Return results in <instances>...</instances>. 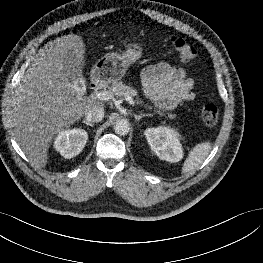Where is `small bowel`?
Instances as JSON below:
<instances>
[{
  "label": "small bowel",
  "mask_w": 263,
  "mask_h": 263,
  "mask_svg": "<svg viewBox=\"0 0 263 263\" xmlns=\"http://www.w3.org/2000/svg\"><path fill=\"white\" fill-rule=\"evenodd\" d=\"M142 83L145 94L165 109H172L195 96L194 81L185 70L163 62L146 67Z\"/></svg>",
  "instance_id": "c3829d8e"
}]
</instances>
